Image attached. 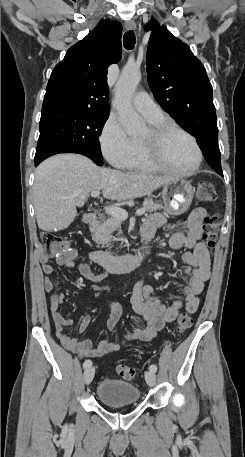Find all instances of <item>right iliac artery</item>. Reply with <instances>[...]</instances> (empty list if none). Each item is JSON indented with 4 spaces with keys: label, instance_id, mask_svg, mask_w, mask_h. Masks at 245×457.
I'll list each match as a JSON object with an SVG mask.
<instances>
[{
    "label": "right iliac artery",
    "instance_id": "right-iliac-artery-1",
    "mask_svg": "<svg viewBox=\"0 0 245 457\" xmlns=\"http://www.w3.org/2000/svg\"><path fill=\"white\" fill-rule=\"evenodd\" d=\"M90 366H92V361L91 360H86L84 363H83V367L85 369L89 368Z\"/></svg>",
    "mask_w": 245,
    "mask_h": 457
}]
</instances>
